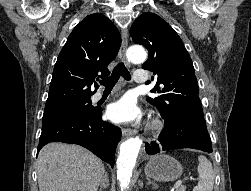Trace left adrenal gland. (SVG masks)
Wrapping results in <instances>:
<instances>
[{"mask_svg":"<svg viewBox=\"0 0 251 191\" xmlns=\"http://www.w3.org/2000/svg\"><path fill=\"white\" fill-rule=\"evenodd\" d=\"M150 183H152V185H154V187H158L157 183H155V181H151V179H147V185H150Z\"/></svg>","mask_w":251,"mask_h":191,"instance_id":"a2214340","label":"left adrenal gland"}]
</instances>
